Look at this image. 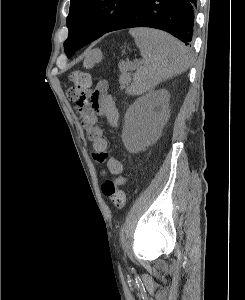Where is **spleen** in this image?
I'll list each match as a JSON object with an SVG mask.
<instances>
[{
    "label": "spleen",
    "mask_w": 245,
    "mask_h": 300,
    "mask_svg": "<svg viewBox=\"0 0 245 300\" xmlns=\"http://www.w3.org/2000/svg\"><path fill=\"white\" fill-rule=\"evenodd\" d=\"M144 59L128 89L131 95L151 91L162 81L186 71L190 65L186 47L171 35L148 28L131 29Z\"/></svg>",
    "instance_id": "1"
}]
</instances>
